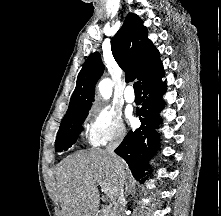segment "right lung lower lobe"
Returning a JSON list of instances; mask_svg holds the SVG:
<instances>
[{"instance_id": "right-lung-lower-lobe-1", "label": "right lung lower lobe", "mask_w": 221, "mask_h": 216, "mask_svg": "<svg viewBox=\"0 0 221 216\" xmlns=\"http://www.w3.org/2000/svg\"><path fill=\"white\" fill-rule=\"evenodd\" d=\"M163 76L164 72L161 71L143 85V104L140 109H137L141 126L134 132L130 131L115 150V153L127 162L137 180L145 175L149 166L147 161L156 152L159 142V133L155 128L160 123L159 112L165 105L162 99L166 91V83L162 82Z\"/></svg>"}]
</instances>
